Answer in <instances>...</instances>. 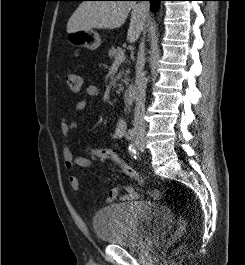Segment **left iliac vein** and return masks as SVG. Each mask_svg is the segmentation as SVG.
Wrapping results in <instances>:
<instances>
[{"label":"left iliac vein","instance_id":"obj_1","mask_svg":"<svg viewBox=\"0 0 245 265\" xmlns=\"http://www.w3.org/2000/svg\"><path fill=\"white\" fill-rule=\"evenodd\" d=\"M137 147H138V150L139 151L143 152L145 150V143H144V141L142 140L141 142H138Z\"/></svg>","mask_w":245,"mask_h":265}]
</instances>
